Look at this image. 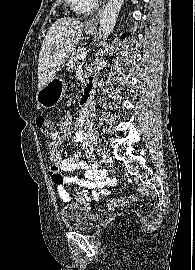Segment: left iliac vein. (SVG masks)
<instances>
[{"label":"left iliac vein","instance_id":"4c4485c4","mask_svg":"<svg viewBox=\"0 0 195 270\" xmlns=\"http://www.w3.org/2000/svg\"><path fill=\"white\" fill-rule=\"evenodd\" d=\"M102 160L105 164H107V165L110 164L112 161V157H111L110 153L107 151H104L102 154Z\"/></svg>","mask_w":195,"mask_h":270}]
</instances>
